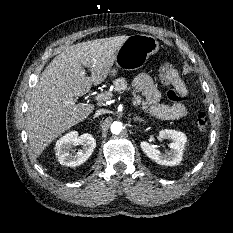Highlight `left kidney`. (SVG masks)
Wrapping results in <instances>:
<instances>
[{"mask_svg": "<svg viewBox=\"0 0 233 233\" xmlns=\"http://www.w3.org/2000/svg\"><path fill=\"white\" fill-rule=\"evenodd\" d=\"M159 137L160 139L171 140L169 152L163 154L150 143L142 141L140 146L143 152L157 164L165 166L178 165L182 161L183 150L187 141L186 135L180 131L165 129L159 132Z\"/></svg>", "mask_w": 233, "mask_h": 233, "instance_id": "1", "label": "left kidney"}]
</instances>
